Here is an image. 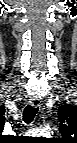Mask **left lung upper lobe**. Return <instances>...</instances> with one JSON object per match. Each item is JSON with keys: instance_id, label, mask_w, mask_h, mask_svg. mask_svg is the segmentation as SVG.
I'll use <instances>...</instances> for the list:
<instances>
[{"instance_id": "5c2ea615", "label": "left lung upper lobe", "mask_w": 77, "mask_h": 143, "mask_svg": "<svg viewBox=\"0 0 77 143\" xmlns=\"http://www.w3.org/2000/svg\"><path fill=\"white\" fill-rule=\"evenodd\" d=\"M60 132L65 143L77 138V108L72 105H62L58 109Z\"/></svg>"}]
</instances>
